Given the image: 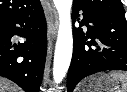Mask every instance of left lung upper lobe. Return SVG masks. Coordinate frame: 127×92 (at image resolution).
I'll return each instance as SVG.
<instances>
[{"mask_svg": "<svg viewBox=\"0 0 127 92\" xmlns=\"http://www.w3.org/2000/svg\"><path fill=\"white\" fill-rule=\"evenodd\" d=\"M73 5L96 13L125 17L121 0H74Z\"/></svg>", "mask_w": 127, "mask_h": 92, "instance_id": "1", "label": "left lung upper lobe"}]
</instances>
